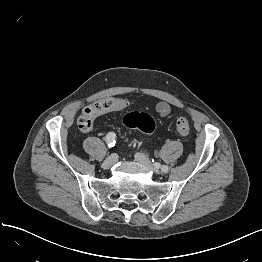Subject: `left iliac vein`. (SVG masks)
I'll list each match as a JSON object with an SVG mask.
<instances>
[{"label":"left iliac vein","mask_w":262,"mask_h":262,"mask_svg":"<svg viewBox=\"0 0 262 262\" xmlns=\"http://www.w3.org/2000/svg\"><path fill=\"white\" fill-rule=\"evenodd\" d=\"M135 160L137 162H139L140 164H142L144 167H146L147 169H150L152 171H154L155 173L159 174L160 170H159V164L157 165H153L151 163V161L143 154L141 153H136L135 154Z\"/></svg>","instance_id":"4c4485c4"}]
</instances>
